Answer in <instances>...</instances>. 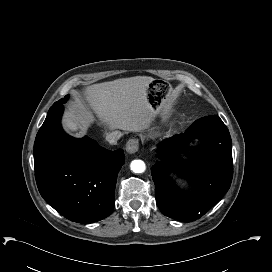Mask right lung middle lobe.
<instances>
[{
    "label": "right lung middle lobe",
    "instance_id": "dd1d6c3e",
    "mask_svg": "<svg viewBox=\"0 0 272 272\" xmlns=\"http://www.w3.org/2000/svg\"><path fill=\"white\" fill-rule=\"evenodd\" d=\"M67 99H68V95H67V96H65V98L60 99L59 101H57V102H56V103H54V104L65 103V102L67 101Z\"/></svg>",
    "mask_w": 272,
    "mask_h": 272
}]
</instances>
